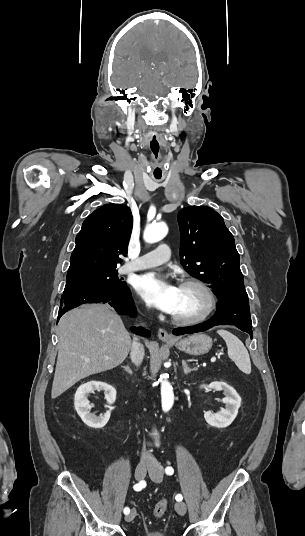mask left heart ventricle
Masks as SVG:
<instances>
[{
	"mask_svg": "<svg viewBox=\"0 0 305 536\" xmlns=\"http://www.w3.org/2000/svg\"><path fill=\"white\" fill-rule=\"evenodd\" d=\"M208 306L206 294L194 285H180L178 301L173 314L182 316L198 315Z\"/></svg>",
	"mask_w": 305,
	"mask_h": 536,
	"instance_id": "b2bd125f",
	"label": "left heart ventricle"
}]
</instances>
